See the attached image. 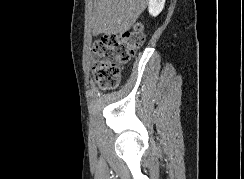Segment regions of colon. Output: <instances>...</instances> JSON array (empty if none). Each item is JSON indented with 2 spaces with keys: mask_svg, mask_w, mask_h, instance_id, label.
I'll use <instances>...</instances> for the list:
<instances>
[{
  "mask_svg": "<svg viewBox=\"0 0 244 179\" xmlns=\"http://www.w3.org/2000/svg\"><path fill=\"white\" fill-rule=\"evenodd\" d=\"M144 40L143 27L136 25L125 34L103 36L95 42L94 76L103 89L117 87L122 66L130 63L133 53L143 45Z\"/></svg>",
  "mask_w": 244,
  "mask_h": 179,
  "instance_id": "5ec220e1",
  "label": "colon"
}]
</instances>
